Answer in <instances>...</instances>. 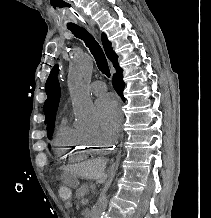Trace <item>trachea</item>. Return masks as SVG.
<instances>
[{"label":"trachea","mask_w":211,"mask_h":218,"mask_svg":"<svg viewBox=\"0 0 211 218\" xmlns=\"http://www.w3.org/2000/svg\"><path fill=\"white\" fill-rule=\"evenodd\" d=\"M68 29L75 35V37L84 41L86 47L89 48L90 52L95 58L97 67L100 72L103 73V75L110 77V70L108 67L106 56L93 35H91V33H89L85 28L80 27L79 25L68 26Z\"/></svg>","instance_id":"3493384b"}]
</instances>
